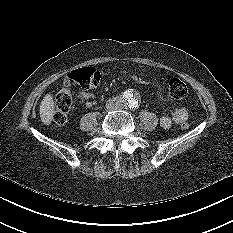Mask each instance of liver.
<instances>
[{
	"mask_svg": "<svg viewBox=\"0 0 233 233\" xmlns=\"http://www.w3.org/2000/svg\"><path fill=\"white\" fill-rule=\"evenodd\" d=\"M40 118L43 124L50 125L55 113V103L52 94H46L40 104Z\"/></svg>",
	"mask_w": 233,
	"mask_h": 233,
	"instance_id": "6515ba94",
	"label": "liver"
}]
</instances>
